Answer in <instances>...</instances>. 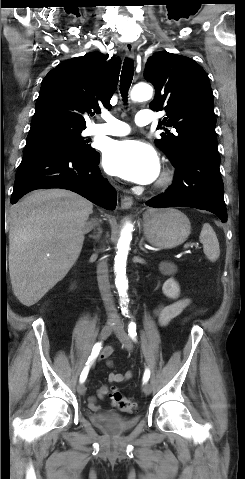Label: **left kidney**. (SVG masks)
<instances>
[{"instance_id":"5707ae66","label":"left kidney","mask_w":245,"mask_h":479,"mask_svg":"<svg viewBox=\"0 0 245 479\" xmlns=\"http://www.w3.org/2000/svg\"><path fill=\"white\" fill-rule=\"evenodd\" d=\"M159 270L164 275H173L177 271V267L170 262H162L159 265ZM162 291L164 295L168 298L176 299L180 294V288L178 283L173 279L170 278L165 281L162 287Z\"/></svg>"}]
</instances>
